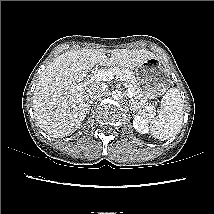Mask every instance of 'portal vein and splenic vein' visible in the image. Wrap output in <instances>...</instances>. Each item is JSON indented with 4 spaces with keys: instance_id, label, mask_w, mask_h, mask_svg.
<instances>
[{
    "instance_id": "obj_1",
    "label": "portal vein and splenic vein",
    "mask_w": 214,
    "mask_h": 214,
    "mask_svg": "<svg viewBox=\"0 0 214 214\" xmlns=\"http://www.w3.org/2000/svg\"><path fill=\"white\" fill-rule=\"evenodd\" d=\"M116 75L115 73L111 72V71H99L98 73H94L91 78L87 79L85 81L84 85H88L90 83L95 82H99V81H109L113 79V76ZM126 77H122L121 80L122 81H126ZM125 86L128 88V85L125 84ZM134 95L133 91H131L130 89L127 90V96L129 98H132Z\"/></svg>"
}]
</instances>
